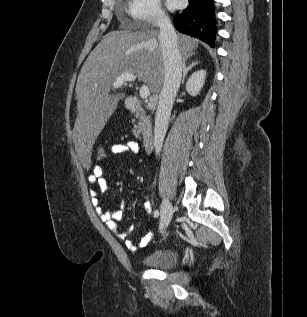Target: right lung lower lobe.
<instances>
[{
    "mask_svg": "<svg viewBox=\"0 0 307 317\" xmlns=\"http://www.w3.org/2000/svg\"><path fill=\"white\" fill-rule=\"evenodd\" d=\"M176 29L214 47L216 23L213 0H189V6L173 18Z\"/></svg>",
    "mask_w": 307,
    "mask_h": 317,
    "instance_id": "98d812e1",
    "label": "right lung lower lobe"
}]
</instances>
